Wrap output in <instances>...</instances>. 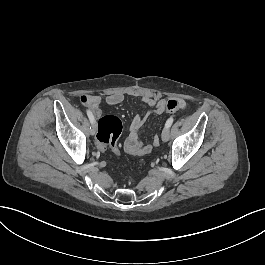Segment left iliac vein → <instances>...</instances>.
Listing matches in <instances>:
<instances>
[{
	"label": "left iliac vein",
	"mask_w": 265,
	"mask_h": 265,
	"mask_svg": "<svg viewBox=\"0 0 265 265\" xmlns=\"http://www.w3.org/2000/svg\"><path fill=\"white\" fill-rule=\"evenodd\" d=\"M170 137V131H169V128L165 127L162 131V140L163 141H168Z\"/></svg>",
	"instance_id": "left-iliac-vein-1"
}]
</instances>
